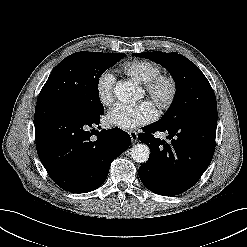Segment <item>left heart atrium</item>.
Returning <instances> with one entry per match:
<instances>
[{"label": "left heart atrium", "mask_w": 247, "mask_h": 247, "mask_svg": "<svg viewBox=\"0 0 247 247\" xmlns=\"http://www.w3.org/2000/svg\"><path fill=\"white\" fill-rule=\"evenodd\" d=\"M157 117V109L150 101H143L135 106L117 104L106 115L109 125L122 130H131L148 124Z\"/></svg>", "instance_id": "left-heart-atrium-1"}]
</instances>
